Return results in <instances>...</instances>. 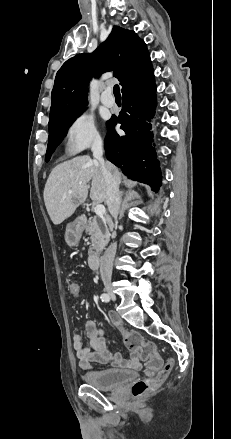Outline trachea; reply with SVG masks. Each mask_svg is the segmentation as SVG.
Returning <instances> with one entry per match:
<instances>
[{"label": "trachea", "instance_id": "trachea-1", "mask_svg": "<svg viewBox=\"0 0 231 439\" xmlns=\"http://www.w3.org/2000/svg\"><path fill=\"white\" fill-rule=\"evenodd\" d=\"M113 93L115 97H121L119 85L114 86Z\"/></svg>", "mask_w": 231, "mask_h": 439}]
</instances>
